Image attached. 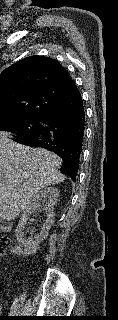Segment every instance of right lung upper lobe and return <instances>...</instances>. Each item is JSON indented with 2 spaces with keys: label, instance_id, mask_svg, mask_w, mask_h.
<instances>
[{
  "label": "right lung upper lobe",
  "instance_id": "cb5924a9",
  "mask_svg": "<svg viewBox=\"0 0 118 320\" xmlns=\"http://www.w3.org/2000/svg\"><path fill=\"white\" fill-rule=\"evenodd\" d=\"M79 94L69 73L56 60L27 57L0 75V119H44L54 107Z\"/></svg>",
  "mask_w": 118,
  "mask_h": 320
}]
</instances>
